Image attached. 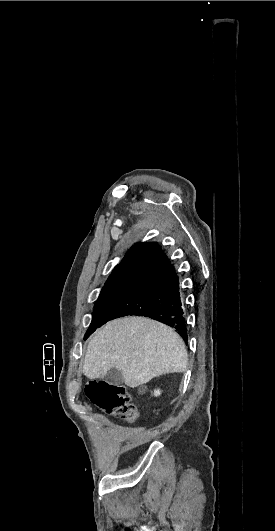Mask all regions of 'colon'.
<instances>
[{"instance_id":"1","label":"colon","mask_w":275,"mask_h":531,"mask_svg":"<svg viewBox=\"0 0 275 531\" xmlns=\"http://www.w3.org/2000/svg\"><path fill=\"white\" fill-rule=\"evenodd\" d=\"M86 395L101 411L133 422L137 416V408L131 403L126 388L115 382L92 380L86 386Z\"/></svg>"}]
</instances>
